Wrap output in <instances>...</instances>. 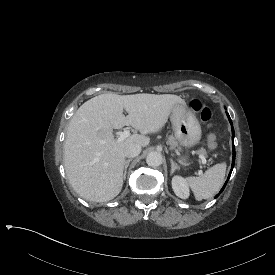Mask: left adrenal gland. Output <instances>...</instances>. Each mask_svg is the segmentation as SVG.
Listing matches in <instances>:
<instances>
[{
    "instance_id": "a2214340",
    "label": "left adrenal gland",
    "mask_w": 275,
    "mask_h": 275,
    "mask_svg": "<svg viewBox=\"0 0 275 275\" xmlns=\"http://www.w3.org/2000/svg\"><path fill=\"white\" fill-rule=\"evenodd\" d=\"M170 162H171L170 175H172L176 169H179V166L176 163H174L172 158L170 159Z\"/></svg>"
}]
</instances>
